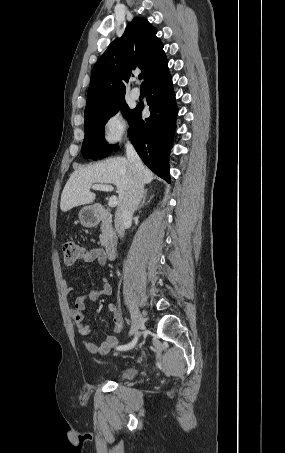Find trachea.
<instances>
[{
	"instance_id": "trachea-1",
	"label": "trachea",
	"mask_w": 285,
	"mask_h": 453,
	"mask_svg": "<svg viewBox=\"0 0 285 453\" xmlns=\"http://www.w3.org/2000/svg\"><path fill=\"white\" fill-rule=\"evenodd\" d=\"M142 78H143V74H140L139 79L141 80ZM142 86H143V83H142Z\"/></svg>"
}]
</instances>
